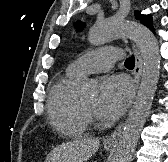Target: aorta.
Returning <instances> with one entry per match:
<instances>
[{
  "instance_id": "aorta-1",
  "label": "aorta",
  "mask_w": 168,
  "mask_h": 162,
  "mask_svg": "<svg viewBox=\"0 0 168 162\" xmlns=\"http://www.w3.org/2000/svg\"><path fill=\"white\" fill-rule=\"evenodd\" d=\"M131 37L143 57L141 83L134 105L125 122L112 162H130L140 133L149 115L160 75V54L157 40L147 27L118 18L94 24L88 33L89 41L100 46L114 39ZM79 96L89 98L96 93V85L85 79L79 83Z\"/></svg>"
}]
</instances>
